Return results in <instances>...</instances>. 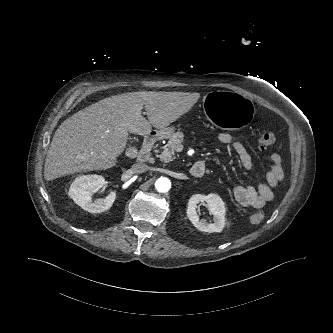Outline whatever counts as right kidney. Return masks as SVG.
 I'll use <instances>...</instances> for the list:
<instances>
[{
  "instance_id": "ca27d5eb",
  "label": "right kidney",
  "mask_w": 333,
  "mask_h": 333,
  "mask_svg": "<svg viewBox=\"0 0 333 333\" xmlns=\"http://www.w3.org/2000/svg\"><path fill=\"white\" fill-rule=\"evenodd\" d=\"M104 177L100 175H83L77 177L71 184L69 196L82 209L90 213H101L111 208L116 199V192L110 191L109 194L102 199L93 201L92 193L97 192L105 185Z\"/></svg>"
}]
</instances>
